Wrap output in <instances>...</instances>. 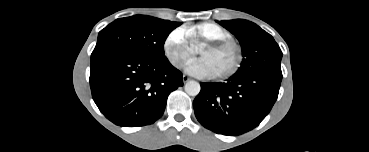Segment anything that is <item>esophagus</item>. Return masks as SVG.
Instances as JSON below:
<instances>
[{
    "mask_svg": "<svg viewBox=\"0 0 369 152\" xmlns=\"http://www.w3.org/2000/svg\"><path fill=\"white\" fill-rule=\"evenodd\" d=\"M182 80H183L184 83H186L190 80V78L187 75H183Z\"/></svg>",
    "mask_w": 369,
    "mask_h": 152,
    "instance_id": "1",
    "label": "esophagus"
}]
</instances>
